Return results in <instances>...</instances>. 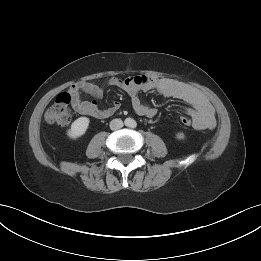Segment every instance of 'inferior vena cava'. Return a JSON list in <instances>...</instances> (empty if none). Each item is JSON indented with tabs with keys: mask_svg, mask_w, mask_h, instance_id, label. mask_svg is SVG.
<instances>
[{
	"mask_svg": "<svg viewBox=\"0 0 261 261\" xmlns=\"http://www.w3.org/2000/svg\"><path fill=\"white\" fill-rule=\"evenodd\" d=\"M123 121L121 119H113L110 122V129L111 130H118L123 127Z\"/></svg>",
	"mask_w": 261,
	"mask_h": 261,
	"instance_id": "obj_1",
	"label": "inferior vena cava"
}]
</instances>
